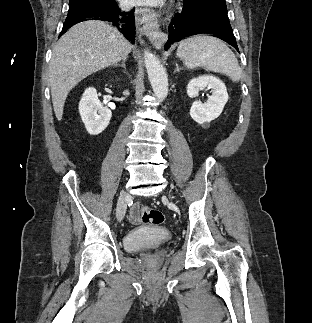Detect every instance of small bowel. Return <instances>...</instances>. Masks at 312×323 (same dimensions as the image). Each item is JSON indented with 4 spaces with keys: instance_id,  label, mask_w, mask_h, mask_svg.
<instances>
[{
    "instance_id": "obj_1",
    "label": "small bowel",
    "mask_w": 312,
    "mask_h": 323,
    "mask_svg": "<svg viewBox=\"0 0 312 323\" xmlns=\"http://www.w3.org/2000/svg\"><path fill=\"white\" fill-rule=\"evenodd\" d=\"M129 220L133 224H138L140 222L139 206L136 203L131 206Z\"/></svg>"
}]
</instances>
